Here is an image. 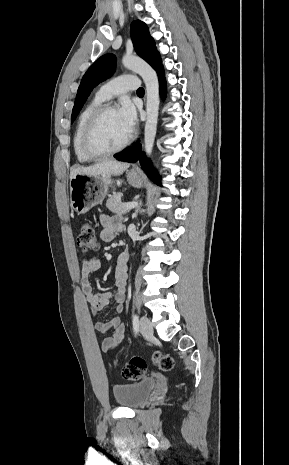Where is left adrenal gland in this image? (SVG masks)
Masks as SVG:
<instances>
[{
	"mask_svg": "<svg viewBox=\"0 0 289 465\" xmlns=\"http://www.w3.org/2000/svg\"><path fill=\"white\" fill-rule=\"evenodd\" d=\"M140 208H141V203H140L139 206H137V208H136V210H135V212H134V214H133V217H134V218H137V215H138V212L140 211Z\"/></svg>",
	"mask_w": 289,
	"mask_h": 465,
	"instance_id": "left-adrenal-gland-1",
	"label": "left adrenal gland"
}]
</instances>
